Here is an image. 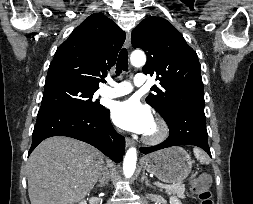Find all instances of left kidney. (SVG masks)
<instances>
[{"mask_svg":"<svg viewBox=\"0 0 253 204\" xmlns=\"http://www.w3.org/2000/svg\"><path fill=\"white\" fill-rule=\"evenodd\" d=\"M170 204H182L179 199L175 197L170 198Z\"/></svg>","mask_w":253,"mask_h":204,"instance_id":"5707ae66","label":"left kidney"}]
</instances>
